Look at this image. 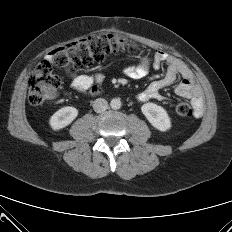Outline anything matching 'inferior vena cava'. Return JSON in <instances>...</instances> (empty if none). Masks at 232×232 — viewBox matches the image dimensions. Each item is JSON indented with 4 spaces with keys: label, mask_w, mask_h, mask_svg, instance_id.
Here are the masks:
<instances>
[{
    "label": "inferior vena cava",
    "mask_w": 232,
    "mask_h": 232,
    "mask_svg": "<svg viewBox=\"0 0 232 232\" xmlns=\"http://www.w3.org/2000/svg\"><path fill=\"white\" fill-rule=\"evenodd\" d=\"M93 109L97 113L104 112L108 109V102L103 98H98L93 102Z\"/></svg>",
    "instance_id": "1"
}]
</instances>
